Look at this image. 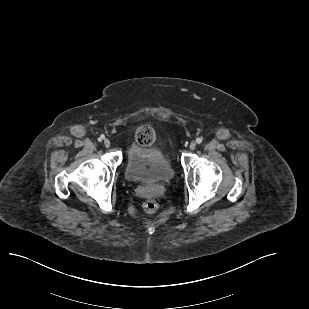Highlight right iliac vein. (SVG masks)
Returning a JSON list of instances; mask_svg holds the SVG:
<instances>
[{
	"instance_id": "right-iliac-vein-1",
	"label": "right iliac vein",
	"mask_w": 309,
	"mask_h": 309,
	"mask_svg": "<svg viewBox=\"0 0 309 309\" xmlns=\"http://www.w3.org/2000/svg\"><path fill=\"white\" fill-rule=\"evenodd\" d=\"M110 144H111V142H110V140L109 139H104V145H105V147H109L110 146Z\"/></svg>"
}]
</instances>
